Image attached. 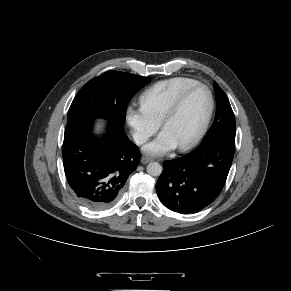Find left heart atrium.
Segmentation results:
<instances>
[{"label": "left heart atrium", "mask_w": 291, "mask_h": 291, "mask_svg": "<svg viewBox=\"0 0 291 291\" xmlns=\"http://www.w3.org/2000/svg\"><path fill=\"white\" fill-rule=\"evenodd\" d=\"M177 147V143L171 135L163 130L156 139L144 147V151L150 155H162Z\"/></svg>", "instance_id": "1"}]
</instances>
